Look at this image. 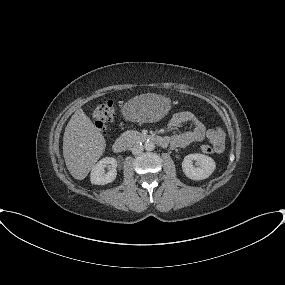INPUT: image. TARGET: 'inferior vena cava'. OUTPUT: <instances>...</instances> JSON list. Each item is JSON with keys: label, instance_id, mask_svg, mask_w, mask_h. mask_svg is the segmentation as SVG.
<instances>
[{"label": "inferior vena cava", "instance_id": "inferior-vena-cava-1", "mask_svg": "<svg viewBox=\"0 0 285 285\" xmlns=\"http://www.w3.org/2000/svg\"><path fill=\"white\" fill-rule=\"evenodd\" d=\"M131 151H132V154H133V155H138V154L142 153V151H143V146H142V145H139V144H136V145H134V146L131 148Z\"/></svg>", "mask_w": 285, "mask_h": 285}]
</instances>
